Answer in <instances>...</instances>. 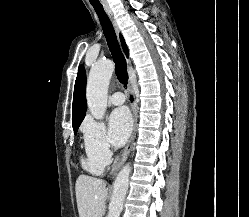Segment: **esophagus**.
<instances>
[{
	"mask_svg": "<svg viewBox=\"0 0 249 217\" xmlns=\"http://www.w3.org/2000/svg\"><path fill=\"white\" fill-rule=\"evenodd\" d=\"M104 10L107 14V16L109 17L110 21L112 22V25L114 27V30L117 34V36L119 35V27L118 24L113 16L112 11L108 8V7H104ZM128 90L131 93L132 92V87L131 84L129 83L128 85ZM131 111H132V117H133V128H132V133L130 136V139L128 141V144L125 148V150L123 151V154L121 156V159L118 163V166H120L121 164H123L125 162V160L128 158L131 150H132V146H133V142L135 140V136H136V127H137V112H136V108L134 106V104H131Z\"/></svg>",
	"mask_w": 249,
	"mask_h": 217,
	"instance_id": "34e87169",
	"label": "esophagus"
}]
</instances>
